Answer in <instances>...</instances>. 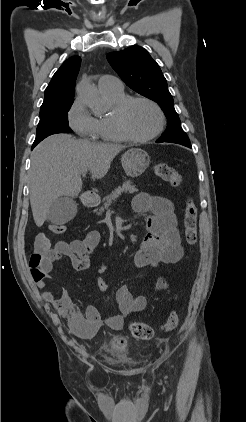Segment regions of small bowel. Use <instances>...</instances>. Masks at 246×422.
I'll use <instances>...</instances> for the list:
<instances>
[{
  "instance_id": "c3829d8e",
  "label": "small bowel",
  "mask_w": 246,
  "mask_h": 422,
  "mask_svg": "<svg viewBox=\"0 0 246 422\" xmlns=\"http://www.w3.org/2000/svg\"><path fill=\"white\" fill-rule=\"evenodd\" d=\"M133 208L138 217L142 219L145 228V235L140 247L130 255L134 265L137 268H158L162 264L179 262L184 255V249L181 245L172 201L166 197L140 193L134 199ZM99 242L100 233L95 230L89 231L84 239L56 242L48 253L49 266L45 277L34 280L42 292L43 299L53 305L61 316L67 317L71 331L81 337L93 336L104 325L113 330H121L125 318L142 311L147 304L145 296H134L127 286H121L115 292V300L120 314L103 316L92 305L86 306L84 312H81L65 290L59 297L46 290L45 279L51 272L54 262L66 258L76 271L86 270L92 264L90 253ZM96 285L102 293L107 292L108 286L103 278H99ZM167 286V278L161 275L156 280L154 289L162 290Z\"/></svg>"
}]
</instances>
